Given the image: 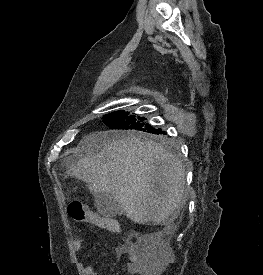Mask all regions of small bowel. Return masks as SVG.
Wrapping results in <instances>:
<instances>
[{"label":"small bowel","instance_id":"small-bowel-1","mask_svg":"<svg viewBox=\"0 0 263 275\" xmlns=\"http://www.w3.org/2000/svg\"><path fill=\"white\" fill-rule=\"evenodd\" d=\"M102 218L107 221H113L111 219H107L104 217ZM93 224L102 229H105V226L102 223H93ZM84 240L85 239L83 235H80L76 238V240L73 243V249L75 253L78 254L82 251ZM122 254H125L128 256L126 270L129 274L146 275L145 273L147 269V256L145 254V248L142 247V245L134 244V245L127 246L122 250ZM81 270L83 275H98L95 268L92 265H89L86 263H81Z\"/></svg>","mask_w":263,"mask_h":275}]
</instances>
